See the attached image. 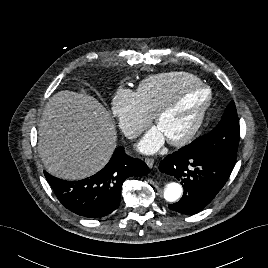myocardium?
Returning <instances> with one entry per match:
<instances>
[{
    "label": "myocardium",
    "instance_id": "myocardium-1",
    "mask_svg": "<svg viewBox=\"0 0 268 268\" xmlns=\"http://www.w3.org/2000/svg\"><path fill=\"white\" fill-rule=\"evenodd\" d=\"M191 89H197L204 91L206 96L201 103L197 115L191 124V126L179 137L173 139H167L168 143L173 146H183L189 143L199 132L200 128L202 127L207 111L211 106L212 103V91L209 87L204 85L203 83H193L187 84L179 88L168 100L165 104H163L157 112L154 114V121L158 125L161 119L169 114L179 103L180 96Z\"/></svg>",
    "mask_w": 268,
    "mask_h": 268
}]
</instances>
